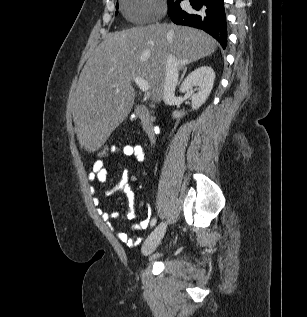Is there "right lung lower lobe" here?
<instances>
[{
    "label": "right lung lower lobe",
    "instance_id": "right-lung-lower-lobe-1",
    "mask_svg": "<svg viewBox=\"0 0 307 317\" xmlns=\"http://www.w3.org/2000/svg\"><path fill=\"white\" fill-rule=\"evenodd\" d=\"M176 0L168 5V15L178 25L202 29L213 36L223 48L227 44V25L223 0H190L192 8L182 10Z\"/></svg>",
    "mask_w": 307,
    "mask_h": 317
}]
</instances>
